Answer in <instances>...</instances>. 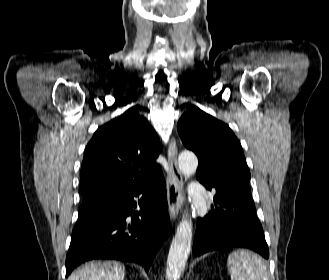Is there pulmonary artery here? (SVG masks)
<instances>
[{
  "instance_id": "pulmonary-artery-1",
  "label": "pulmonary artery",
  "mask_w": 329,
  "mask_h": 280,
  "mask_svg": "<svg viewBox=\"0 0 329 280\" xmlns=\"http://www.w3.org/2000/svg\"><path fill=\"white\" fill-rule=\"evenodd\" d=\"M204 191V186L197 181L190 185V196L194 201L204 200Z\"/></svg>"
}]
</instances>
